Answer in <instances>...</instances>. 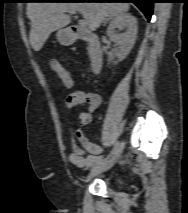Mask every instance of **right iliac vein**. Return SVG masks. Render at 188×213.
Here are the masks:
<instances>
[{
	"label": "right iliac vein",
	"mask_w": 188,
	"mask_h": 213,
	"mask_svg": "<svg viewBox=\"0 0 188 213\" xmlns=\"http://www.w3.org/2000/svg\"><path fill=\"white\" fill-rule=\"evenodd\" d=\"M123 148H124V144L122 142L119 143V145H118L116 151L114 152V154L112 155V157L109 160H107L105 163H103L100 166H98L97 168L93 169L88 174V176L86 178V182H88L89 180L98 176L99 174L111 169L114 166V164L118 161V159L120 158Z\"/></svg>",
	"instance_id": "right-iliac-vein-1"
}]
</instances>
